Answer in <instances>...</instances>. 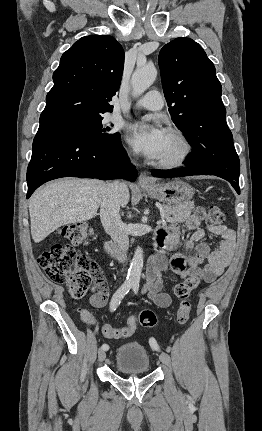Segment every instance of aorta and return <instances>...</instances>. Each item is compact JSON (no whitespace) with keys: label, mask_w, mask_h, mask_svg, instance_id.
<instances>
[{"label":"aorta","mask_w":262,"mask_h":431,"mask_svg":"<svg viewBox=\"0 0 262 431\" xmlns=\"http://www.w3.org/2000/svg\"><path fill=\"white\" fill-rule=\"evenodd\" d=\"M157 69L153 65L138 66L132 75L133 95L144 93L155 81ZM144 254L141 247H137L127 274V280L132 285L138 286L143 268Z\"/></svg>","instance_id":"762f6f07"}]
</instances>
